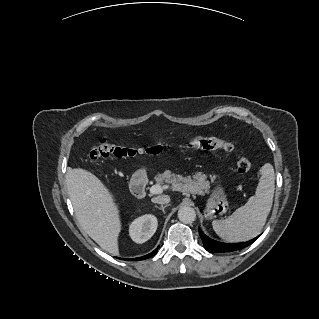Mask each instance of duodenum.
<instances>
[{
	"instance_id": "1",
	"label": "duodenum",
	"mask_w": 319,
	"mask_h": 319,
	"mask_svg": "<svg viewBox=\"0 0 319 319\" xmlns=\"http://www.w3.org/2000/svg\"><path fill=\"white\" fill-rule=\"evenodd\" d=\"M133 192L136 196L142 198L146 193V187L142 184H137L133 187Z\"/></svg>"
}]
</instances>
